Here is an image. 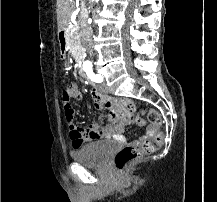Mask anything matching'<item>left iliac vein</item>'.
<instances>
[{"label": "left iliac vein", "instance_id": "left-iliac-vein-1", "mask_svg": "<svg viewBox=\"0 0 217 202\" xmlns=\"http://www.w3.org/2000/svg\"><path fill=\"white\" fill-rule=\"evenodd\" d=\"M98 89H99L102 93H108L107 85H106V83H104V82L98 85Z\"/></svg>", "mask_w": 217, "mask_h": 202}]
</instances>
